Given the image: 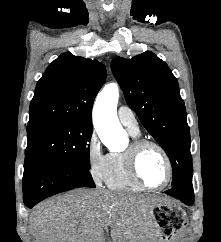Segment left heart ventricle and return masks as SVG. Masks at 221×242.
<instances>
[{
    "label": "left heart ventricle",
    "instance_id": "left-heart-ventricle-1",
    "mask_svg": "<svg viewBox=\"0 0 221 242\" xmlns=\"http://www.w3.org/2000/svg\"><path fill=\"white\" fill-rule=\"evenodd\" d=\"M139 172L146 184L158 187L167 178L166 162L162 154L154 147L146 148L139 159Z\"/></svg>",
    "mask_w": 221,
    "mask_h": 242
}]
</instances>
